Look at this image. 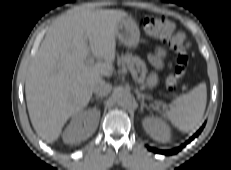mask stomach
<instances>
[{
    "instance_id": "stomach-1",
    "label": "stomach",
    "mask_w": 231,
    "mask_h": 170,
    "mask_svg": "<svg viewBox=\"0 0 231 170\" xmlns=\"http://www.w3.org/2000/svg\"><path fill=\"white\" fill-rule=\"evenodd\" d=\"M116 37L129 49H135L140 42V31L136 22L131 17L123 18L119 21L116 30ZM156 83L155 74L147 78L146 86L153 87Z\"/></svg>"
}]
</instances>
